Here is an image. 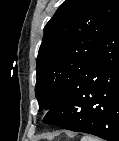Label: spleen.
<instances>
[{"mask_svg":"<svg viewBox=\"0 0 119 141\" xmlns=\"http://www.w3.org/2000/svg\"><path fill=\"white\" fill-rule=\"evenodd\" d=\"M81 141H99V139L86 135V136L81 138Z\"/></svg>","mask_w":119,"mask_h":141,"instance_id":"obj_1","label":"spleen"}]
</instances>
